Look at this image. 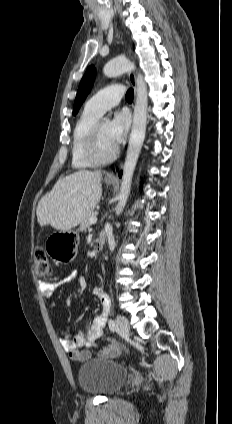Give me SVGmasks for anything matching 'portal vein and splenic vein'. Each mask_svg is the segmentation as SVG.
Masks as SVG:
<instances>
[{"mask_svg":"<svg viewBox=\"0 0 232 424\" xmlns=\"http://www.w3.org/2000/svg\"><path fill=\"white\" fill-rule=\"evenodd\" d=\"M97 222V217H91L90 218V224H95Z\"/></svg>","mask_w":232,"mask_h":424,"instance_id":"18ae733b","label":"portal vein and splenic vein"}]
</instances>
